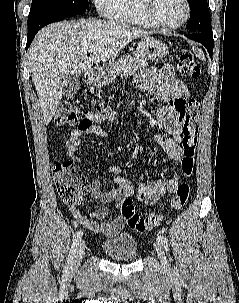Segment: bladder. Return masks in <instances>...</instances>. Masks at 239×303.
Listing matches in <instances>:
<instances>
[{
	"label": "bladder",
	"instance_id": "bladder-1",
	"mask_svg": "<svg viewBox=\"0 0 239 303\" xmlns=\"http://www.w3.org/2000/svg\"><path fill=\"white\" fill-rule=\"evenodd\" d=\"M107 258L114 261L130 262L138 256V242L129 233H120L101 245Z\"/></svg>",
	"mask_w": 239,
	"mask_h": 303
}]
</instances>
